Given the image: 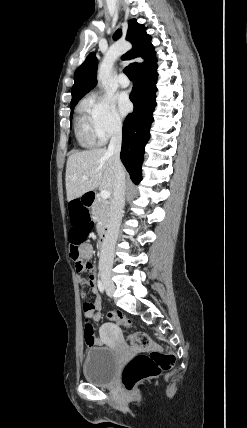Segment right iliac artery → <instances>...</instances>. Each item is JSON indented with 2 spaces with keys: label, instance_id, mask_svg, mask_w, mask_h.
I'll list each match as a JSON object with an SVG mask.
<instances>
[{
  "label": "right iliac artery",
  "instance_id": "1",
  "mask_svg": "<svg viewBox=\"0 0 247 428\" xmlns=\"http://www.w3.org/2000/svg\"><path fill=\"white\" fill-rule=\"evenodd\" d=\"M97 285H98V289H99V291L101 292V293H103L104 292V284H103V282H102V280H98V282H97Z\"/></svg>",
  "mask_w": 247,
  "mask_h": 428
}]
</instances>
